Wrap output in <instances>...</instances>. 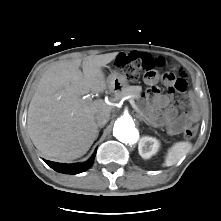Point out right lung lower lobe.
<instances>
[{
	"mask_svg": "<svg viewBox=\"0 0 221 221\" xmlns=\"http://www.w3.org/2000/svg\"><path fill=\"white\" fill-rule=\"evenodd\" d=\"M96 152L93 154V156L86 161L85 163H77V164H61V163H56L52 161H45L52 169L59 173H64V174H78L81 172L86 171L89 169L95 158Z\"/></svg>",
	"mask_w": 221,
	"mask_h": 221,
	"instance_id": "obj_1",
	"label": "right lung lower lobe"
}]
</instances>
